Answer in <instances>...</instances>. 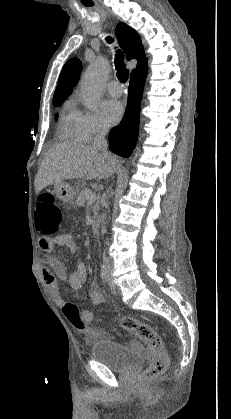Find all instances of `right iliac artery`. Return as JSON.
Here are the masks:
<instances>
[{
  "label": "right iliac artery",
  "mask_w": 231,
  "mask_h": 419,
  "mask_svg": "<svg viewBox=\"0 0 231 419\" xmlns=\"http://www.w3.org/2000/svg\"><path fill=\"white\" fill-rule=\"evenodd\" d=\"M101 278H102V280H103V282H108V275H107V272H106V270L105 269H102L101 270Z\"/></svg>",
  "instance_id": "1"
}]
</instances>
